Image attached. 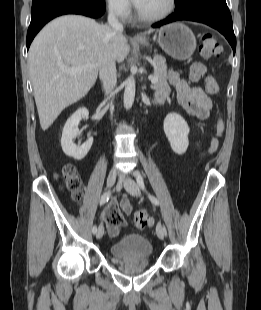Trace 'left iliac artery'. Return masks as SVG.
I'll use <instances>...</instances> for the list:
<instances>
[{
    "mask_svg": "<svg viewBox=\"0 0 261 310\" xmlns=\"http://www.w3.org/2000/svg\"><path fill=\"white\" fill-rule=\"evenodd\" d=\"M135 176H136V181H137V184L139 185V187H140L143 191H145V192L147 193L146 187H145V184H144V180H143V177H142L141 173H140L139 171H136ZM147 194H148V197H149V199H150V201H151L152 203H154L155 205H159V201L157 200V198H155L154 196H152V195L149 194V193H147ZM164 231H165V235H166V229H165V227H164Z\"/></svg>",
    "mask_w": 261,
    "mask_h": 310,
    "instance_id": "1",
    "label": "left iliac artery"
}]
</instances>
